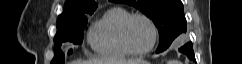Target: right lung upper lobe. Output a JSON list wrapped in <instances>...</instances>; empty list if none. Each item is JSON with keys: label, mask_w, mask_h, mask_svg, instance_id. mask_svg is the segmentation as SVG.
Returning <instances> with one entry per match:
<instances>
[{"label": "right lung upper lobe", "mask_w": 242, "mask_h": 64, "mask_svg": "<svg viewBox=\"0 0 242 64\" xmlns=\"http://www.w3.org/2000/svg\"><path fill=\"white\" fill-rule=\"evenodd\" d=\"M97 4L94 0H69L64 11L58 17L57 23L70 22L95 11Z\"/></svg>", "instance_id": "obj_1"}]
</instances>
